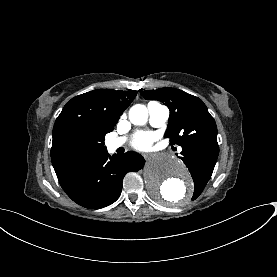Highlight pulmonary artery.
<instances>
[{
	"instance_id": "obj_1",
	"label": "pulmonary artery",
	"mask_w": 277,
	"mask_h": 277,
	"mask_svg": "<svg viewBox=\"0 0 277 277\" xmlns=\"http://www.w3.org/2000/svg\"><path fill=\"white\" fill-rule=\"evenodd\" d=\"M146 111L150 124L153 127L160 128L166 125L169 119V109L158 103L150 102L146 107H143ZM126 137H121L116 141H113L110 145L113 148H118L126 142Z\"/></svg>"
}]
</instances>
